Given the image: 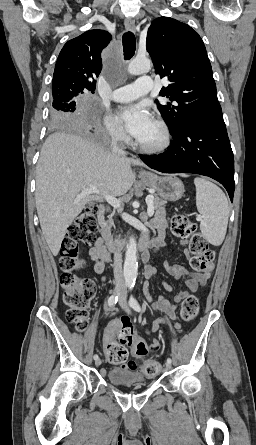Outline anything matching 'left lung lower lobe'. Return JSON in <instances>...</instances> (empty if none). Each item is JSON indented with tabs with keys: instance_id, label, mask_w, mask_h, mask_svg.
<instances>
[{
	"instance_id": "left-lung-lower-lobe-1",
	"label": "left lung lower lobe",
	"mask_w": 256,
	"mask_h": 445,
	"mask_svg": "<svg viewBox=\"0 0 256 445\" xmlns=\"http://www.w3.org/2000/svg\"><path fill=\"white\" fill-rule=\"evenodd\" d=\"M173 143L159 155H139L164 173H195L219 181L231 201L235 188L234 159L223 119L191 117L171 132Z\"/></svg>"
}]
</instances>
